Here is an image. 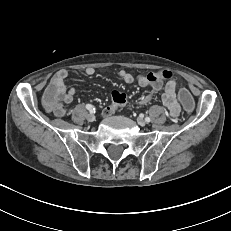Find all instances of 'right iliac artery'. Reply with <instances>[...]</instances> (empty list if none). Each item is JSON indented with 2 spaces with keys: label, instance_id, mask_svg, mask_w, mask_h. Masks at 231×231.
<instances>
[{
  "label": "right iliac artery",
  "instance_id": "1",
  "mask_svg": "<svg viewBox=\"0 0 231 231\" xmlns=\"http://www.w3.org/2000/svg\"><path fill=\"white\" fill-rule=\"evenodd\" d=\"M86 109L93 112L95 110V108H93V106L91 104H87L86 106Z\"/></svg>",
  "mask_w": 231,
  "mask_h": 231
}]
</instances>
